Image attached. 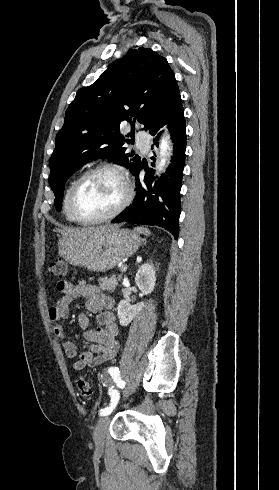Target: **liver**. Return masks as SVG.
<instances>
[{
    "label": "liver",
    "mask_w": 279,
    "mask_h": 490,
    "mask_svg": "<svg viewBox=\"0 0 279 490\" xmlns=\"http://www.w3.org/2000/svg\"><path fill=\"white\" fill-rule=\"evenodd\" d=\"M117 230L118 226H99V228H69V230H59L62 236H69L73 240H79V238H86L91 234H107L109 230Z\"/></svg>",
    "instance_id": "liver-1"
}]
</instances>
